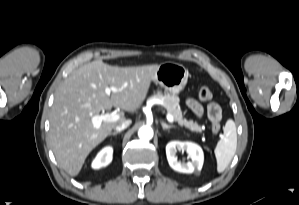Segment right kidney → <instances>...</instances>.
Returning a JSON list of instances; mask_svg holds the SVG:
<instances>
[{
	"label": "right kidney",
	"instance_id": "obj_1",
	"mask_svg": "<svg viewBox=\"0 0 299 205\" xmlns=\"http://www.w3.org/2000/svg\"><path fill=\"white\" fill-rule=\"evenodd\" d=\"M112 147L103 148L92 162V168L99 169L107 166L112 161Z\"/></svg>",
	"mask_w": 299,
	"mask_h": 205
}]
</instances>
